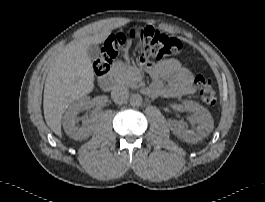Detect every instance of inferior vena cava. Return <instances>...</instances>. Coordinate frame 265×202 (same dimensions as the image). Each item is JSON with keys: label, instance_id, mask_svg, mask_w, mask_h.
I'll return each mask as SVG.
<instances>
[{"label": "inferior vena cava", "instance_id": "1", "mask_svg": "<svg viewBox=\"0 0 265 202\" xmlns=\"http://www.w3.org/2000/svg\"><path fill=\"white\" fill-rule=\"evenodd\" d=\"M111 97L116 104L126 103L129 98V90L124 86L116 85L112 88Z\"/></svg>", "mask_w": 265, "mask_h": 202}]
</instances>
